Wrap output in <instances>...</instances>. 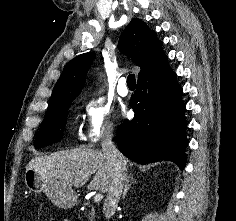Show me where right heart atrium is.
Returning a JSON list of instances; mask_svg holds the SVG:
<instances>
[{"mask_svg": "<svg viewBox=\"0 0 236 221\" xmlns=\"http://www.w3.org/2000/svg\"><path fill=\"white\" fill-rule=\"evenodd\" d=\"M114 129L112 108L101 99H88L84 106L83 139L94 144L113 133Z\"/></svg>", "mask_w": 236, "mask_h": 221, "instance_id": "right-heart-atrium-1", "label": "right heart atrium"}]
</instances>
